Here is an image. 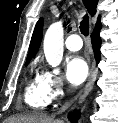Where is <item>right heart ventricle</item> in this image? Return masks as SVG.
<instances>
[{"instance_id": "1", "label": "right heart ventricle", "mask_w": 118, "mask_h": 123, "mask_svg": "<svg viewBox=\"0 0 118 123\" xmlns=\"http://www.w3.org/2000/svg\"><path fill=\"white\" fill-rule=\"evenodd\" d=\"M25 101L30 107L39 110L46 109L51 103L39 76H35L28 82L25 91Z\"/></svg>"}]
</instances>
